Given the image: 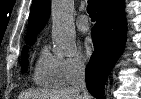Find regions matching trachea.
<instances>
[{
	"label": "trachea",
	"instance_id": "1",
	"mask_svg": "<svg viewBox=\"0 0 141 99\" xmlns=\"http://www.w3.org/2000/svg\"><path fill=\"white\" fill-rule=\"evenodd\" d=\"M97 0H89L87 12L92 20L96 19Z\"/></svg>",
	"mask_w": 141,
	"mask_h": 99
}]
</instances>
